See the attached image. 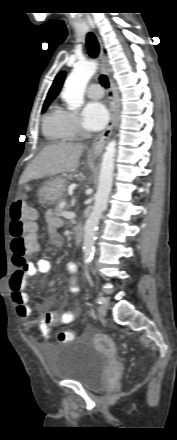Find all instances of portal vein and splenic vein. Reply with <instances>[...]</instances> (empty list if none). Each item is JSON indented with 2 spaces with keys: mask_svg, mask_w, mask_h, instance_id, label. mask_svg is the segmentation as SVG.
Returning <instances> with one entry per match:
<instances>
[{
  "mask_svg": "<svg viewBox=\"0 0 177 440\" xmlns=\"http://www.w3.org/2000/svg\"><path fill=\"white\" fill-rule=\"evenodd\" d=\"M62 216L66 219H73L75 218V213L74 212H70V211H63L62 212Z\"/></svg>",
  "mask_w": 177,
  "mask_h": 440,
  "instance_id": "18ae733b",
  "label": "portal vein and splenic vein"
}]
</instances>
